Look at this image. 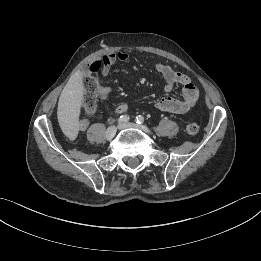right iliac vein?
Listing matches in <instances>:
<instances>
[{
  "label": "right iliac vein",
  "instance_id": "right-iliac-vein-1",
  "mask_svg": "<svg viewBox=\"0 0 261 261\" xmlns=\"http://www.w3.org/2000/svg\"><path fill=\"white\" fill-rule=\"evenodd\" d=\"M117 132V127L116 126H110L107 130H106V138L107 139H112Z\"/></svg>",
  "mask_w": 261,
  "mask_h": 261
}]
</instances>
